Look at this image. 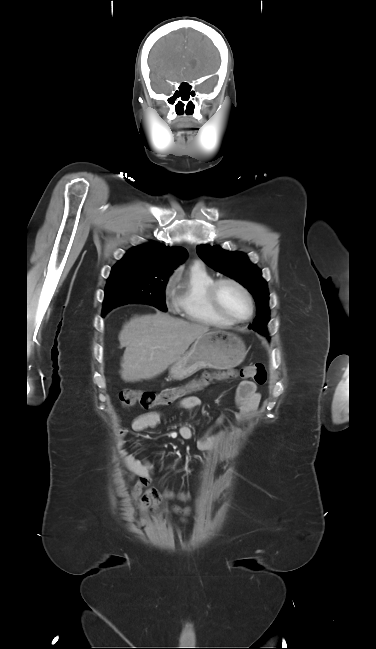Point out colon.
<instances>
[{
	"instance_id": "colon-1",
	"label": "colon",
	"mask_w": 376,
	"mask_h": 649,
	"mask_svg": "<svg viewBox=\"0 0 376 649\" xmlns=\"http://www.w3.org/2000/svg\"><path fill=\"white\" fill-rule=\"evenodd\" d=\"M239 376L243 379H251L259 385H263L267 379L265 366L261 363H254L242 367L238 371L227 374L205 373L200 378L190 383L177 387L165 388L158 392L141 391L136 389H124L119 393L120 403L125 406L139 404L144 408H153L161 405H168L194 391L201 390L206 386L228 376Z\"/></svg>"
}]
</instances>
